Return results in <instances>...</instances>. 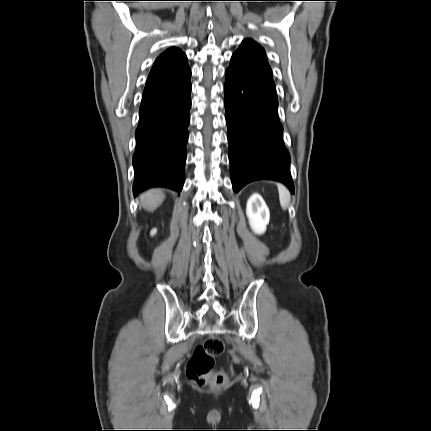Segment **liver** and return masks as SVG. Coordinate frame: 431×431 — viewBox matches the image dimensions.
I'll use <instances>...</instances> for the list:
<instances>
[{"label": "liver", "instance_id": "6515ba94", "mask_svg": "<svg viewBox=\"0 0 431 431\" xmlns=\"http://www.w3.org/2000/svg\"><path fill=\"white\" fill-rule=\"evenodd\" d=\"M164 195L159 190H149L141 196V202L145 209L155 210L163 201Z\"/></svg>", "mask_w": 431, "mask_h": 431}]
</instances>
